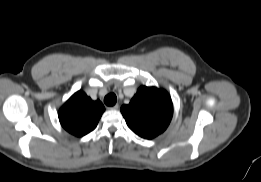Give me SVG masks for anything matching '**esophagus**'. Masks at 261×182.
Masks as SVG:
<instances>
[{
	"label": "esophagus",
	"mask_w": 261,
	"mask_h": 182,
	"mask_svg": "<svg viewBox=\"0 0 261 182\" xmlns=\"http://www.w3.org/2000/svg\"><path fill=\"white\" fill-rule=\"evenodd\" d=\"M119 108L118 104H115L114 106L110 107L109 109L111 110H117Z\"/></svg>",
	"instance_id": "esophagus-1"
}]
</instances>
